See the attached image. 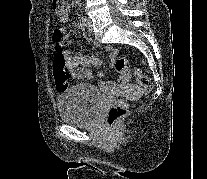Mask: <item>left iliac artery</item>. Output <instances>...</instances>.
I'll use <instances>...</instances> for the list:
<instances>
[{"label": "left iliac artery", "instance_id": "1", "mask_svg": "<svg viewBox=\"0 0 207 179\" xmlns=\"http://www.w3.org/2000/svg\"><path fill=\"white\" fill-rule=\"evenodd\" d=\"M81 7V6H80ZM79 7L80 12L82 13V9ZM81 19H82V23L84 26H87V19L86 17L83 16V14H81Z\"/></svg>", "mask_w": 207, "mask_h": 179}]
</instances>
